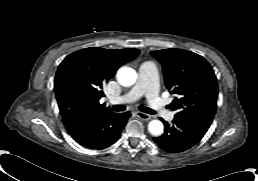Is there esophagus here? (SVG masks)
Segmentation results:
<instances>
[{"label":"esophagus","mask_w":258,"mask_h":181,"mask_svg":"<svg viewBox=\"0 0 258 181\" xmlns=\"http://www.w3.org/2000/svg\"><path fill=\"white\" fill-rule=\"evenodd\" d=\"M136 115L138 118H140L141 120H144V121H148L151 119V116L146 114V113H143V112H140V111H137L136 112Z\"/></svg>","instance_id":"1"}]
</instances>
